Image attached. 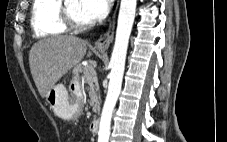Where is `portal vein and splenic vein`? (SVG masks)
<instances>
[{
	"mask_svg": "<svg viewBox=\"0 0 227 142\" xmlns=\"http://www.w3.org/2000/svg\"><path fill=\"white\" fill-rule=\"evenodd\" d=\"M84 74H85L88 78H92V76H93V71H92V70L86 69V70L84 71Z\"/></svg>",
	"mask_w": 227,
	"mask_h": 142,
	"instance_id": "18ae733b",
	"label": "portal vein and splenic vein"
}]
</instances>
